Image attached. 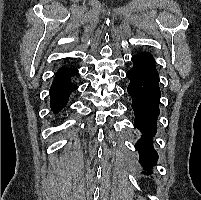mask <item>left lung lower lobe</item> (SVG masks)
<instances>
[{"label": "left lung lower lobe", "instance_id": "0a47b994", "mask_svg": "<svg viewBox=\"0 0 201 200\" xmlns=\"http://www.w3.org/2000/svg\"><path fill=\"white\" fill-rule=\"evenodd\" d=\"M133 67L127 72L130 80L128 94L132 98V108L135 113V127L142 135L135 147L139 152L144 171L151 174L157 163L158 154L153 147L152 138L157 132V119L160 113L159 103L161 92L159 76L153 56L143 52L132 57Z\"/></svg>", "mask_w": 201, "mask_h": 200}]
</instances>
